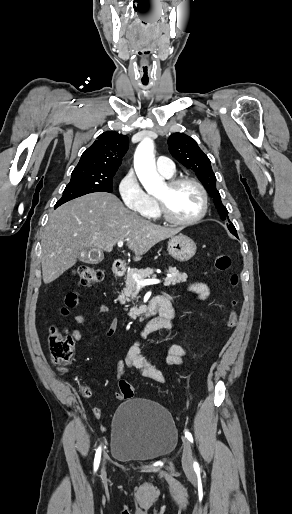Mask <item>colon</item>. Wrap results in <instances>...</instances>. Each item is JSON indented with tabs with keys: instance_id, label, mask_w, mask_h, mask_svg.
Wrapping results in <instances>:
<instances>
[{
	"instance_id": "1",
	"label": "colon",
	"mask_w": 292,
	"mask_h": 514,
	"mask_svg": "<svg viewBox=\"0 0 292 514\" xmlns=\"http://www.w3.org/2000/svg\"><path fill=\"white\" fill-rule=\"evenodd\" d=\"M215 266L221 272H229L231 269V259L227 254H217L215 256ZM77 276L79 277V283L82 285H92L98 283L103 278V271L90 267L83 266L79 267L76 271ZM229 283L232 288H236L239 283L238 275L235 273H231L229 278ZM77 299V295L72 293L69 294L65 301V308L72 307ZM232 311L226 320V328L228 330L234 328L237 324V312L235 307L237 305L236 300H232ZM74 340L71 336L65 334L62 331H52L49 336V347H50V355L51 361L54 366L60 370H65L71 362L74 360V350H73ZM118 392L120 395H123L124 399H129L133 397L135 392V387L133 384H120L118 387ZM82 394L84 397H90L91 391L87 388L83 389ZM93 413L96 416H99L101 413L100 408H95Z\"/></svg>"
}]
</instances>
